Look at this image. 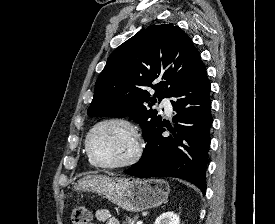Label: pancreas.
<instances>
[{
	"label": "pancreas",
	"mask_w": 275,
	"mask_h": 224,
	"mask_svg": "<svg viewBox=\"0 0 275 224\" xmlns=\"http://www.w3.org/2000/svg\"><path fill=\"white\" fill-rule=\"evenodd\" d=\"M137 220H138V216H135V217H132V218L126 217L123 224H136Z\"/></svg>",
	"instance_id": "obj_1"
}]
</instances>
